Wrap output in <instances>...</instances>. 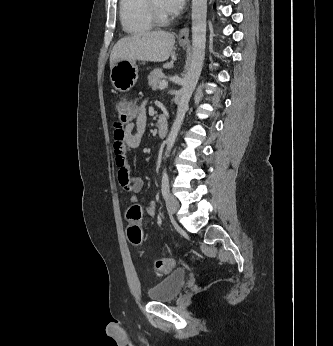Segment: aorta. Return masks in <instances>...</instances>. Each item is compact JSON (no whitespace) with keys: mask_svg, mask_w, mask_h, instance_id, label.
Wrapping results in <instances>:
<instances>
[{"mask_svg":"<svg viewBox=\"0 0 333 346\" xmlns=\"http://www.w3.org/2000/svg\"><path fill=\"white\" fill-rule=\"evenodd\" d=\"M206 16L207 0H192V57L189 70L184 78L182 89L180 90V101L177 107L176 118L165 142L166 157L169 156L176 141L185 114L188 110L190 98L201 74L205 58Z\"/></svg>","mask_w":333,"mask_h":346,"instance_id":"obj_1","label":"aorta"}]
</instances>
